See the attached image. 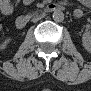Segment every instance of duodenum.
Here are the masks:
<instances>
[{"label": "duodenum", "instance_id": "1", "mask_svg": "<svg viewBox=\"0 0 91 91\" xmlns=\"http://www.w3.org/2000/svg\"><path fill=\"white\" fill-rule=\"evenodd\" d=\"M62 7L57 4V3H50L45 7V12H56V11H61ZM29 23V17L26 15H21L17 17L15 21V25L18 29H23L25 28Z\"/></svg>", "mask_w": 91, "mask_h": 91}]
</instances>
